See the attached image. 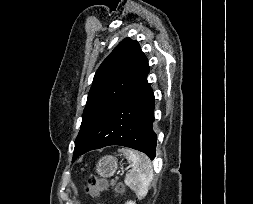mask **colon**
I'll use <instances>...</instances> for the list:
<instances>
[{"label":"colon","instance_id":"colon-1","mask_svg":"<svg viewBox=\"0 0 253 204\" xmlns=\"http://www.w3.org/2000/svg\"><path fill=\"white\" fill-rule=\"evenodd\" d=\"M88 181L89 183L84 188V192L91 197L97 196L105 187V181L94 174L89 176ZM119 189H121V187H119Z\"/></svg>","mask_w":253,"mask_h":204}]
</instances>
